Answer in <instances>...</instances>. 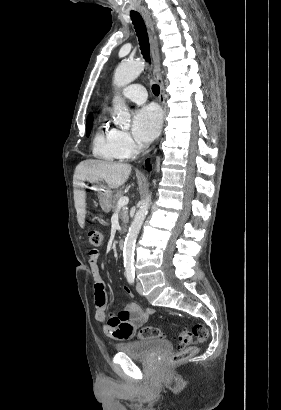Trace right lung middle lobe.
<instances>
[{"label": "right lung middle lobe", "instance_id": "obj_1", "mask_svg": "<svg viewBox=\"0 0 281 410\" xmlns=\"http://www.w3.org/2000/svg\"><path fill=\"white\" fill-rule=\"evenodd\" d=\"M92 125H93V116H90V117L87 118V124H86V127H87L86 134H87V136H89V134H90Z\"/></svg>", "mask_w": 281, "mask_h": 410}]
</instances>
